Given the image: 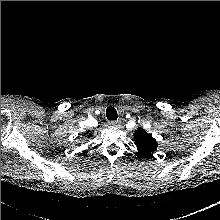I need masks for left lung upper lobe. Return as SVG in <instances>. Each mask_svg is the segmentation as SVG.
Here are the masks:
<instances>
[{"mask_svg":"<svg viewBox=\"0 0 220 220\" xmlns=\"http://www.w3.org/2000/svg\"><path fill=\"white\" fill-rule=\"evenodd\" d=\"M135 143L138 149V155L141 157H149L157 150L156 140L149 135L143 128L134 133Z\"/></svg>","mask_w":220,"mask_h":220,"instance_id":"left-lung-upper-lobe-1","label":"left lung upper lobe"}]
</instances>
